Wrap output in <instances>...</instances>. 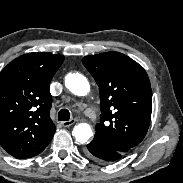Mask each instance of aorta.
Here are the masks:
<instances>
[{
  "instance_id": "obj_1",
  "label": "aorta",
  "mask_w": 183,
  "mask_h": 183,
  "mask_svg": "<svg viewBox=\"0 0 183 183\" xmlns=\"http://www.w3.org/2000/svg\"><path fill=\"white\" fill-rule=\"evenodd\" d=\"M65 86L70 92L78 96H85L90 90L88 80L80 73H69L65 78ZM72 134L76 141L85 143L92 137L93 132L89 124L80 123L75 125Z\"/></svg>"
}]
</instances>
